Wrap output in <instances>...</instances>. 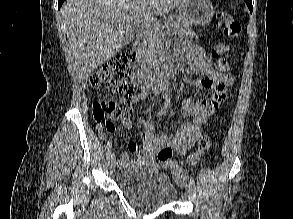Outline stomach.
Instances as JSON below:
<instances>
[{
    "instance_id": "0dacf381",
    "label": "stomach",
    "mask_w": 293,
    "mask_h": 219,
    "mask_svg": "<svg viewBox=\"0 0 293 219\" xmlns=\"http://www.w3.org/2000/svg\"><path fill=\"white\" fill-rule=\"evenodd\" d=\"M213 14L209 0H184L179 6L180 18L196 27L209 23Z\"/></svg>"
}]
</instances>
